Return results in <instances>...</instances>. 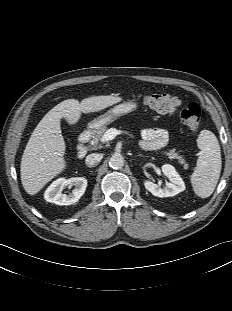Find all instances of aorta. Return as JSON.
<instances>
[{"instance_id":"762f6f07","label":"aorta","mask_w":232,"mask_h":311,"mask_svg":"<svg viewBox=\"0 0 232 311\" xmlns=\"http://www.w3.org/2000/svg\"><path fill=\"white\" fill-rule=\"evenodd\" d=\"M125 160L121 154H113L110 157L109 165L113 169H120L124 166Z\"/></svg>"}]
</instances>
